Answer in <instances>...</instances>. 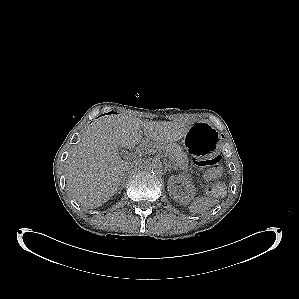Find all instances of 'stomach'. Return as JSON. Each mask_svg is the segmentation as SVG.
<instances>
[{
	"label": "stomach",
	"instance_id": "obj_1",
	"mask_svg": "<svg viewBox=\"0 0 299 299\" xmlns=\"http://www.w3.org/2000/svg\"><path fill=\"white\" fill-rule=\"evenodd\" d=\"M218 139V132L208 121H199L184 135L185 150L192 159L207 161L216 154Z\"/></svg>",
	"mask_w": 299,
	"mask_h": 299
}]
</instances>
